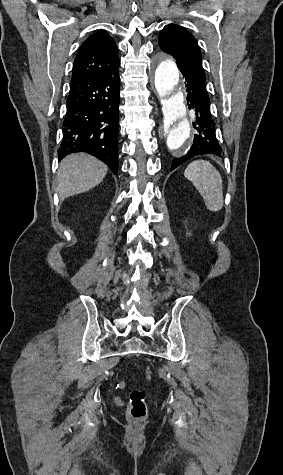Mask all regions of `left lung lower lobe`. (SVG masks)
I'll return each mask as SVG.
<instances>
[{"mask_svg": "<svg viewBox=\"0 0 283 475\" xmlns=\"http://www.w3.org/2000/svg\"><path fill=\"white\" fill-rule=\"evenodd\" d=\"M180 71L187 83V103L189 109L193 111V127L196 134L188 153L181 158L174 159L171 170L198 155L214 154L220 156L222 154V148L216 138L215 123L210 112V100L206 90L204 71L193 68H180Z\"/></svg>", "mask_w": 283, "mask_h": 475, "instance_id": "left-lung-lower-lobe-1", "label": "left lung lower lobe"}]
</instances>
